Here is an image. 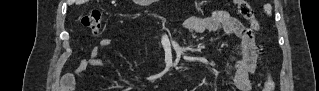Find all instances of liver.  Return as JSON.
<instances>
[{
	"mask_svg": "<svg viewBox=\"0 0 319 91\" xmlns=\"http://www.w3.org/2000/svg\"><path fill=\"white\" fill-rule=\"evenodd\" d=\"M86 0H75V2L77 3V4H82V3H84Z\"/></svg>",
	"mask_w": 319,
	"mask_h": 91,
	"instance_id": "obj_1",
	"label": "liver"
}]
</instances>
